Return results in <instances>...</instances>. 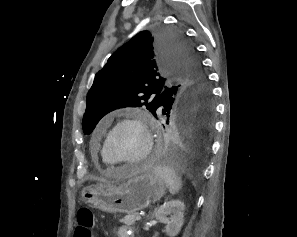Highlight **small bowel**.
Returning <instances> with one entry per match:
<instances>
[{
    "label": "small bowel",
    "mask_w": 297,
    "mask_h": 237,
    "mask_svg": "<svg viewBox=\"0 0 297 237\" xmlns=\"http://www.w3.org/2000/svg\"><path fill=\"white\" fill-rule=\"evenodd\" d=\"M118 237H131V232L127 226H120L117 231Z\"/></svg>",
    "instance_id": "obj_1"
}]
</instances>
